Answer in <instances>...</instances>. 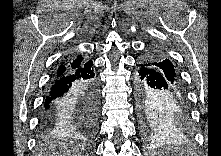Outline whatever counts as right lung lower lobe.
I'll return each mask as SVG.
<instances>
[{
	"instance_id": "98d812e1",
	"label": "right lung lower lobe",
	"mask_w": 221,
	"mask_h": 156,
	"mask_svg": "<svg viewBox=\"0 0 221 156\" xmlns=\"http://www.w3.org/2000/svg\"><path fill=\"white\" fill-rule=\"evenodd\" d=\"M99 90L92 61L56 74L42 107L39 126L43 133L96 124Z\"/></svg>"
}]
</instances>
